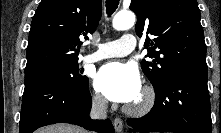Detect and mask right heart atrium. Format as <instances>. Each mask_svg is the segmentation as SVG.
<instances>
[{
  "mask_svg": "<svg viewBox=\"0 0 221 133\" xmlns=\"http://www.w3.org/2000/svg\"><path fill=\"white\" fill-rule=\"evenodd\" d=\"M92 104L94 108L98 110H103L106 107V100L100 93L92 94Z\"/></svg>",
  "mask_w": 221,
  "mask_h": 133,
  "instance_id": "d8ad5b80",
  "label": "right heart atrium"
}]
</instances>
